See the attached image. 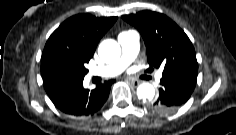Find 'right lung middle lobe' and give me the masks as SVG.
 Wrapping results in <instances>:
<instances>
[{
	"instance_id": "right-lung-middle-lobe-1",
	"label": "right lung middle lobe",
	"mask_w": 236,
	"mask_h": 135,
	"mask_svg": "<svg viewBox=\"0 0 236 135\" xmlns=\"http://www.w3.org/2000/svg\"><path fill=\"white\" fill-rule=\"evenodd\" d=\"M89 60L90 57L80 56L65 49L55 47L43 52L41 70L42 72L57 70L77 75H86L88 70L85 68V64Z\"/></svg>"
}]
</instances>
